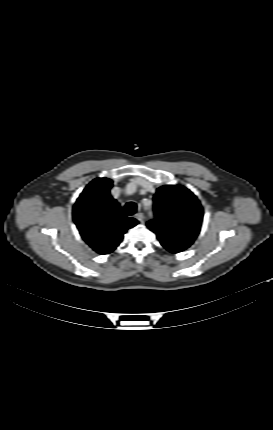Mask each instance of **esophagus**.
I'll return each instance as SVG.
<instances>
[{"mask_svg":"<svg viewBox=\"0 0 273 430\" xmlns=\"http://www.w3.org/2000/svg\"><path fill=\"white\" fill-rule=\"evenodd\" d=\"M135 218H136L139 222H141V223H143V222H144V215H143V213H137V214L135 215Z\"/></svg>","mask_w":273,"mask_h":430,"instance_id":"obj_1","label":"esophagus"}]
</instances>
